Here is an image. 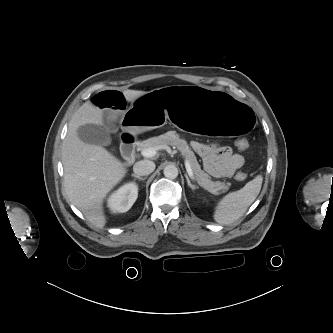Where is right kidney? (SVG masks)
<instances>
[{
	"label": "right kidney",
	"instance_id": "obj_1",
	"mask_svg": "<svg viewBox=\"0 0 333 333\" xmlns=\"http://www.w3.org/2000/svg\"><path fill=\"white\" fill-rule=\"evenodd\" d=\"M137 196L138 186L136 183L130 182L124 184L109 196L107 206L113 213H123L132 207L137 199Z\"/></svg>",
	"mask_w": 333,
	"mask_h": 333
}]
</instances>
